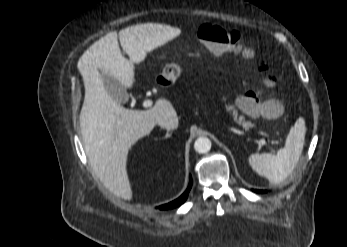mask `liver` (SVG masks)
<instances>
[{
  "mask_svg": "<svg viewBox=\"0 0 347 247\" xmlns=\"http://www.w3.org/2000/svg\"><path fill=\"white\" fill-rule=\"evenodd\" d=\"M179 33L178 28L156 23L130 26L120 30L118 35L112 31L91 45L77 64L85 86L80 113L85 153L104 185L125 200L132 198L126 169L131 146L150 134L160 117L177 118V114L172 104L162 98L145 111L124 108L108 94L99 70L130 89L135 81L134 63L139 64L147 52ZM118 36L130 60L122 55Z\"/></svg>",
  "mask_w": 347,
  "mask_h": 247,
  "instance_id": "liver-1",
  "label": "liver"
}]
</instances>
